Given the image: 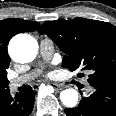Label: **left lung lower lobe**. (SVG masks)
<instances>
[{
	"label": "left lung lower lobe",
	"mask_w": 116,
	"mask_h": 116,
	"mask_svg": "<svg viewBox=\"0 0 116 116\" xmlns=\"http://www.w3.org/2000/svg\"><path fill=\"white\" fill-rule=\"evenodd\" d=\"M91 86L94 91L82 98L76 108H66V116H116V83H94Z\"/></svg>",
	"instance_id": "1"
}]
</instances>
